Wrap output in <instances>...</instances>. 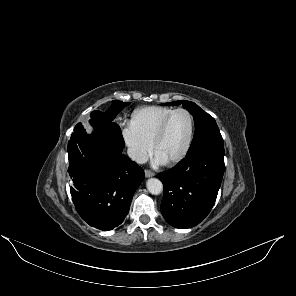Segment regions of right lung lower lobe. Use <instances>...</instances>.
<instances>
[{
	"instance_id": "98d812e1",
	"label": "right lung lower lobe",
	"mask_w": 296,
	"mask_h": 296,
	"mask_svg": "<svg viewBox=\"0 0 296 296\" xmlns=\"http://www.w3.org/2000/svg\"><path fill=\"white\" fill-rule=\"evenodd\" d=\"M96 132L87 134L81 123L68 142L71 196L81 218L100 230H112L128 214L144 171L122 154L124 140L114 122L90 121Z\"/></svg>"
}]
</instances>
